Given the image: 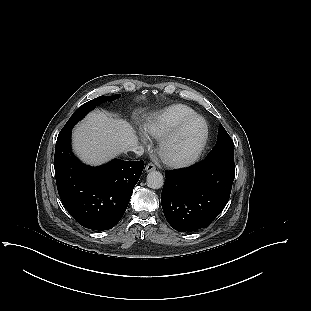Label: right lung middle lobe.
<instances>
[{
	"label": "right lung middle lobe",
	"mask_w": 311,
	"mask_h": 311,
	"mask_svg": "<svg viewBox=\"0 0 311 311\" xmlns=\"http://www.w3.org/2000/svg\"><path fill=\"white\" fill-rule=\"evenodd\" d=\"M121 97L120 94H116L113 96H100L98 98H95L91 101L86 102L83 104L81 107H79L73 115L70 117L68 122L65 124L63 129L58 135V138L63 137L66 135L68 132L71 131L72 127L79 121L81 120L87 113H89L91 110H93L97 105L107 102V101H114Z\"/></svg>",
	"instance_id": "1"
}]
</instances>
